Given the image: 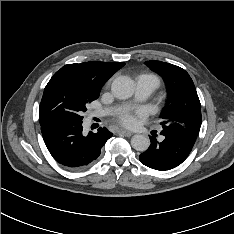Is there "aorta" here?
<instances>
[{"instance_id": "aorta-1", "label": "aorta", "mask_w": 234, "mask_h": 234, "mask_svg": "<svg viewBox=\"0 0 234 234\" xmlns=\"http://www.w3.org/2000/svg\"><path fill=\"white\" fill-rule=\"evenodd\" d=\"M134 82L132 79L126 76L117 77L111 85L113 95L118 99H128L134 93ZM132 147L137 150L144 152L150 145L149 139L141 134H136L131 139Z\"/></svg>"}]
</instances>
